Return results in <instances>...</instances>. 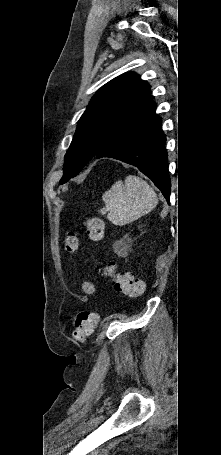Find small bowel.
Instances as JSON below:
<instances>
[{"instance_id": "obj_1", "label": "small bowel", "mask_w": 221, "mask_h": 455, "mask_svg": "<svg viewBox=\"0 0 221 455\" xmlns=\"http://www.w3.org/2000/svg\"><path fill=\"white\" fill-rule=\"evenodd\" d=\"M83 290L85 293L90 294V295L95 292L94 285L90 282H85L83 284Z\"/></svg>"}]
</instances>
